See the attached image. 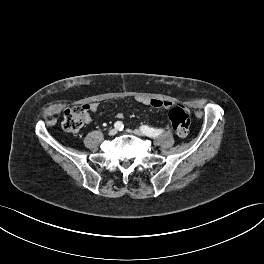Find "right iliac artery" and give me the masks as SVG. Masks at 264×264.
<instances>
[{"mask_svg": "<svg viewBox=\"0 0 264 264\" xmlns=\"http://www.w3.org/2000/svg\"><path fill=\"white\" fill-rule=\"evenodd\" d=\"M114 127L118 130H122L124 126H123V123L121 121H117V122H115Z\"/></svg>", "mask_w": 264, "mask_h": 264, "instance_id": "obj_1", "label": "right iliac artery"}]
</instances>
